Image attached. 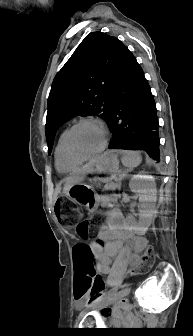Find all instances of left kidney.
Wrapping results in <instances>:
<instances>
[{
  "instance_id": "left-kidney-1",
  "label": "left kidney",
  "mask_w": 193,
  "mask_h": 336,
  "mask_svg": "<svg viewBox=\"0 0 193 336\" xmlns=\"http://www.w3.org/2000/svg\"><path fill=\"white\" fill-rule=\"evenodd\" d=\"M129 187L132 192L139 195V201L141 202V222L136 224L133 217L128 216L129 223L136 227L148 228L152 222L153 214L156 203V183L155 179L151 175H135L129 182Z\"/></svg>"
}]
</instances>
